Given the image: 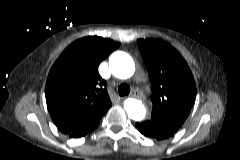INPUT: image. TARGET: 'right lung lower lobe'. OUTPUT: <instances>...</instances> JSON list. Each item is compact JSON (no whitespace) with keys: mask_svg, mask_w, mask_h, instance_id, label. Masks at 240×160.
<instances>
[{"mask_svg":"<svg viewBox=\"0 0 240 160\" xmlns=\"http://www.w3.org/2000/svg\"><path fill=\"white\" fill-rule=\"evenodd\" d=\"M99 120H96L92 123L80 126L76 129H74L73 131H71L70 133H68L67 135L71 138H80L82 136L87 135L88 133L92 132L99 124Z\"/></svg>","mask_w":240,"mask_h":160,"instance_id":"obj_1","label":"right lung lower lobe"}]
</instances>
